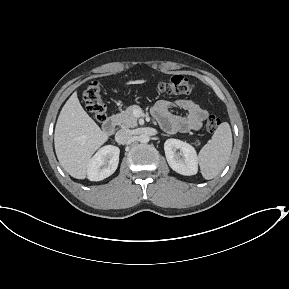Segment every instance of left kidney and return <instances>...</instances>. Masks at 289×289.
<instances>
[{"label": "left kidney", "mask_w": 289, "mask_h": 289, "mask_svg": "<svg viewBox=\"0 0 289 289\" xmlns=\"http://www.w3.org/2000/svg\"><path fill=\"white\" fill-rule=\"evenodd\" d=\"M164 150L167 162L175 172L185 176L197 173L198 157L193 146L171 138L165 141Z\"/></svg>", "instance_id": "5707ae66"}]
</instances>
